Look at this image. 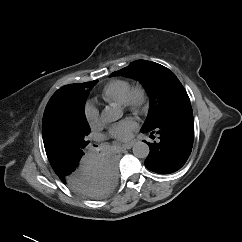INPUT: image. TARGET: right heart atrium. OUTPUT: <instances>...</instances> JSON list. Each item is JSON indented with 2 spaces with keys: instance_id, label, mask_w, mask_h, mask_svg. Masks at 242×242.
Returning a JSON list of instances; mask_svg holds the SVG:
<instances>
[{
  "instance_id": "d8ad5b80",
  "label": "right heart atrium",
  "mask_w": 242,
  "mask_h": 242,
  "mask_svg": "<svg viewBox=\"0 0 242 242\" xmlns=\"http://www.w3.org/2000/svg\"><path fill=\"white\" fill-rule=\"evenodd\" d=\"M83 113L86 121L91 127L96 126L99 123V110L92 103L88 102L84 105Z\"/></svg>"
}]
</instances>
